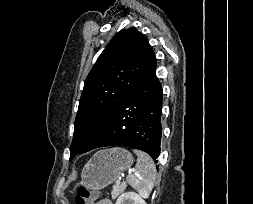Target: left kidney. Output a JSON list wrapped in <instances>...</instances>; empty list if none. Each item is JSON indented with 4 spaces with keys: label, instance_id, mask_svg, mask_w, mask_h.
Instances as JSON below:
<instances>
[{
    "label": "left kidney",
    "instance_id": "5707ae66",
    "mask_svg": "<svg viewBox=\"0 0 253 204\" xmlns=\"http://www.w3.org/2000/svg\"><path fill=\"white\" fill-rule=\"evenodd\" d=\"M115 204H147L145 200L135 192L122 193Z\"/></svg>",
    "mask_w": 253,
    "mask_h": 204
}]
</instances>
